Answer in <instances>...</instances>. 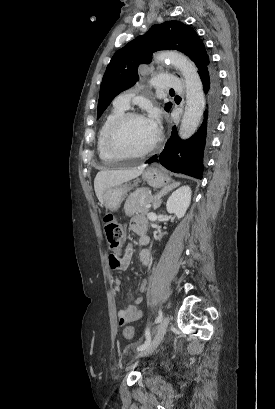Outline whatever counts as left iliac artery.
Segmentation results:
<instances>
[{"label": "left iliac artery", "mask_w": 275, "mask_h": 409, "mask_svg": "<svg viewBox=\"0 0 275 409\" xmlns=\"http://www.w3.org/2000/svg\"><path fill=\"white\" fill-rule=\"evenodd\" d=\"M162 319H163V313H162V310L160 309L159 312H158V316H157V318L155 319V323H156V324L160 323ZM145 336H146L145 342H144L143 344H141L140 346L137 347V351H142V350L146 349V348L150 345V343H151V335H150V330H149V328L146 329V331H145Z\"/></svg>", "instance_id": "obj_1"}]
</instances>
